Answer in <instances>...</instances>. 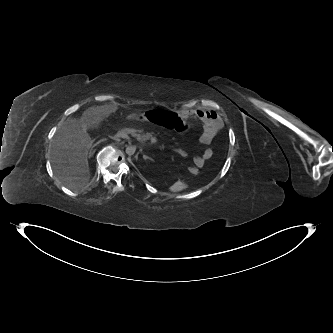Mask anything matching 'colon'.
<instances>
[{
    "instance_id": "obj_1",
    "label": "colon",
    "mask_w": 333,
    "mask_h": 333,
    "mask_svg": "<svg viewBox=\"0 0 333 333\" xmlns=\"http://www.w3.org/2000/svg\"><path fill=\"white\" fill-rule=\"evenodd\" d=\"M145 120L150 125H159L163 129H176L177 131L186 132L189 129L188 122H179V116L172 111L159 110L150 108L145 113ZM199 171L194 167L188 168L189 174H197Z\"/></svg>"
}]
</instances>
